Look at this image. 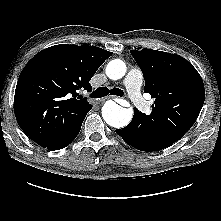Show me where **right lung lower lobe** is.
<instances>
[{"label": "right lung lower lobe", "instance_id": "98d812e1", "mask_svg": "<svg viewBox=\"0 0 221 221\" xmlns=\"http://www.w3.org/2000/svg\"><path fill=\"white\" fill-rule=\"evenodd\" d=\"M82 123L77 126L69 135L66 137L62 138L61 140L47 146L46 148L49 150H59L62 149L66 146H68L78 135L80 129H81Z\"/></svg>", "mask_w": 221, "mask_h": 221}]
</instances>
